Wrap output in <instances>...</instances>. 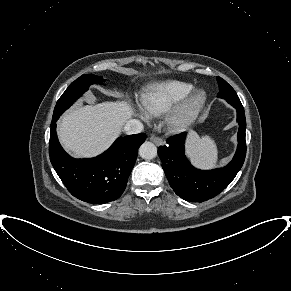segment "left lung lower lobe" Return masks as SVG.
<instances>
[{"label": "left lung lower lobe", "instance_id": "obj_1", "mask_svg": "<svg viewBox=\"0 0 291 291\" xmlns=\"http://www.w3.org/2000/svg\"><path fill=\"white\" fill-rule=\"evenodd\" d=\"M237 110L238 147L232 161L225 167L213 170H199L191 165L184 154L186 133L167 140L159 147L158 154L162 168L171 188L182 199L190 202H203L223 191L241 169L246 156V119L242 104Z\"/></svg>", "mask_w": 291, "mask_h": 291}]
</instances>
